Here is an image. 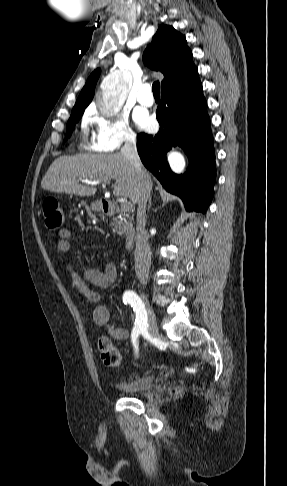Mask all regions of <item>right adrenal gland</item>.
I'll return each mask as SVG.
<instances>
[{"label": "right adrenal gland", "instance_id": "1", "mask_svg": "<svg viewBox=\"0 0 287 486\" xmlns=\"http://www.w3.org/2000/svg\"><path fill=\"white\" fill-rule=\"evenodd\" d=\"M151 204H152V202H151V197H150V198H149V204H148V209H150V207H151Z\"/></svg>", "mask_w": 287, "mask_h": 486}]
</instances>
